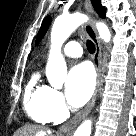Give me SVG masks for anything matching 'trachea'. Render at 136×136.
<instances>
[{
    "label": "trachea",
    "instance_id": "1",
    "mask_svg": "<svg viewBox=\"0 0 136 136\" xmlns=\"http://www.w3.org/2000/svg\"><path fill=\"white\" fill-rule=\"evenodd\" d=\"M86 46H87V49L90 53H94L95 52V45L92 41L90 40H87L86 42Z\"/></svg>",
    "mask_w": 136,
    "mask_h": 136
}]
</instances>
